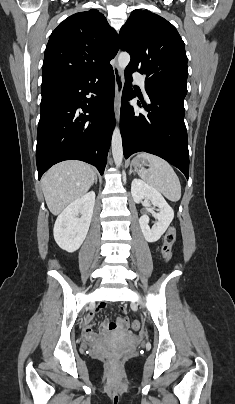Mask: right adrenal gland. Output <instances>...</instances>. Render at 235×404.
Here are the masks:
<instances>
[{"label": "right adrenal gland", "mask_w": 235, "mask_h": 404, "mask_svg": "<svg viewBox=\"0 0 235 404\" xmlns=\"http://www.w3.org/2000/svg\"><path fill=\"white\" fill-rule=\"evenodd\" d=\"M97 181H98V178H97V176H96L94 183L97 184Z\"/></svg>", "instance_id": "2a0ac1e0"}]
</instances>
